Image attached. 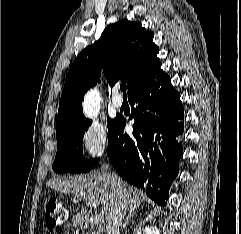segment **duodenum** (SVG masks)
<instances>
[{"label": "duodenum", "mask_w": 241, "mask_h": 234, "mask_svg": "<svg viewBox=\"0 0 241 234\" xmlns=\"http://www.w3.org/2000/svg\"><path fill=\"white\" fill-rule=\"evenodd\" d=\"M88 214L86 212H81L80 215H79V221H80V224L81 226L85 227L88 225Z\"/></svg>", "instance_id": "1"}]
</instances>
